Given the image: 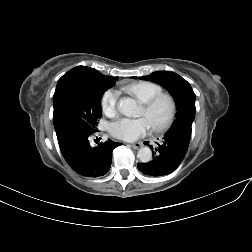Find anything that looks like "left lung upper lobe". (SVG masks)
Wrapping results in <instances>:
<instances>
[{
  "label": "left lung upper lobe",
  "instance_id": "obj_1",
  "mask_svg": "<svg viewBox=\"0 0 252 252\" xmlns=\"http://www.w3.org/2000/svg\"><path fill=\"white\" fill-rule=\"evenodd\" d=\"M141 79L161 84L173 96L177 113L171 128L183 122L192 125L195 118V93L189 82L171 71H157L148 76L141 77Z\"/></svg>",
  "mask_w": 252,
  "mask_h": 252
}]
</instances>
